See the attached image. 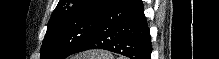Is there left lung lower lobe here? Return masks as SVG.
I'll return each instance as SVG.
<instances>
[{
	"label": "left lung lower lobe",
	"instance_id": "obj_1",
	"mask_svg": "<svg viewBox=\"0 0 219 59\" xmlns=\"http://www.w3.org/2000/svg\"><path fill=\"white\" fill-rule=\"evenodd\" d=\"M90 49L108 50L130 59H150L152 46L142 2L113 0L95 32L74 53Z\"/></svg>",
	"mask_w": 219,
	"mask_h": 59
}]
</instances>
